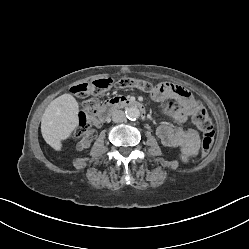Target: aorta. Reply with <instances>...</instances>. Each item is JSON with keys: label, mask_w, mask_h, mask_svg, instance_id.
Wrapping results in <instances>:
<instances>
[{"label": "aorta", "mask_w": 249, "mask_h": 249, "mask_svg": "<svg viewBox=\"0 0 249 249\" xmlns=\"http://www.w3.org/2000/svg\"><path fill=\"white\" fill-rule=\"evenodd\" d=\"M126 117L129 120H136L140 117V111L137 107H129L126 109Z\"/></svg>", "instance_id": "aorta-1"}]
</instances>
